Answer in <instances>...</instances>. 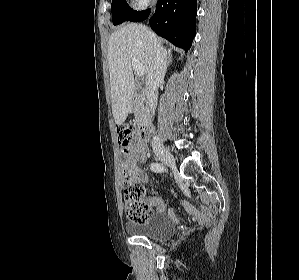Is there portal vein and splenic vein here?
Here are the masks:
<instances>
[{"label": "portal vein and splenic vein", "mask_w": 299, "mask_h": 280, "mask_svg": "<svg viewBox=\"0 0 299 280\" xmlns=\"http://www.w3.org/2000/svg\"><path fill=\"white\" fill-rule=\"evenodd\" d=\"M132 67L135 70L136 75L142 76L146 73L145 67L138 61H132Z\"/></svg>", "instance_id": "1"}]
</instances>
